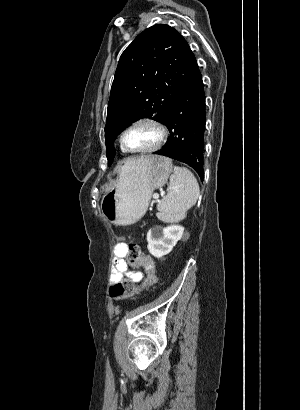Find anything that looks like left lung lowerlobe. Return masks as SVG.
Segmentation results:
<instances>
[{
  "mask_svg": "<svg viewBox=\"0 0 300 410\" xmlns=\"http://www.w3.org/2000/svg\"><path fill=\"white\" fill-rule=\"evenodd\" d=\"M204 85L197 61L172 104L163 124L170 136L166 145L154 154L184 162L204 178L203 152L206 124Z\"/></svg>",
  "mask_w": 300,
  "mask_h": 410,
  "instance_id": "1",
  "label": "left lung lower lobe"
}]
</instances>
